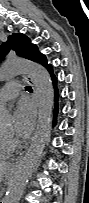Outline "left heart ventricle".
<instances>
[{
  "instance_id": "1",
  "label": "left heart ventricle",
  "mask_w": 89,
  "mask_h": 203,
  "mask_svg": "<svg viewBox=\"0 0 89 203\" xmlns=\"http://www.w3.org/2000/svg\"><path fill=\"white\" fill-rule=\"evenodd\" d=\"M10 134H11L10 132L6 133L7 136H10Z\"/></svg>"
}]
</instances>
